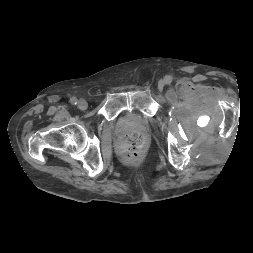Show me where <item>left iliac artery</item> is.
Listing matches in <instances>:
<instances>
[{"label": "left iliac artery", "instance_id": "1", "mask_svg": "<svg viewBox=\"0 0 253 253\" xmlns=\"http://www.w3.org/2000/svg\"><path fill=\"white\" fill-rule=\"evenodd\" d=\"M165 82H166V84H170L172 82V77L171 76H166L165 77Z\"/></svg>", "mask_w": 253, "mask_h": 253}]
</instances>
